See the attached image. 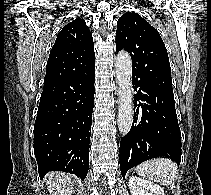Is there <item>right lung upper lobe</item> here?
<instances>
[{
    "mask_svg": "<svg viewBox=\"0 0 211 195\" xmlns=\"http://www.w3.org/2000/svg\"><path fill=\"white\" fill-rule=\"evenodd\" d=\"M92 34L76 18L58 33L46 65L44 84L84 72L95 65Z\"/></svg>",
    "mask_w": 211,
    "mask_h": 195,
    "instance_id": "right-lung-upper-lobe-1",
    "label": "right lung upper lobe"
}]
</instances>
